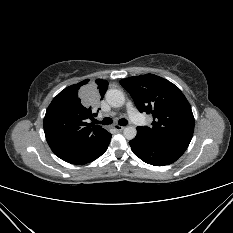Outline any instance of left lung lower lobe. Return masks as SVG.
<instances>
[{"mask_svg": "<svg viewBox=\"0 0 233 233\" xmlns=\"http://www.w3.org/2000/svg\"><path fill=\"white\" fill-rule=\"evenodd\" d=\"M129 144L135 155L144 162L154 166L169 165L175 162L184 153L183 150L152 143L138 133Z\"/></svg>", "mask_w": 233, "mask_h": 233, "instance_id": "obj_1", "label": "left lung lower lobe"}]
</instances>
